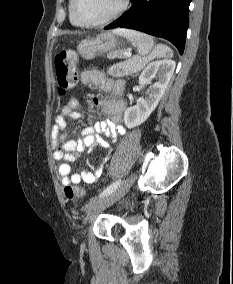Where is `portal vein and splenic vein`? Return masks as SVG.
Instances as JSON below:
<instances>
[{
    "label": "portal vein and splenic vein",
    "instance_id": "obj_1",
    "mask_svg": "<svg viewBox=\"0 0 233 284\" xmlns=\"http://www.w3.org/2000/svg\"><path fill=\"white\" fill-rule=\"evenodd\" d=\"M125 56L130 57L131 56V52H125Z\"/></svg>",
    "mask_w": 233,
    "mask_h": 284
}]
</instances>
